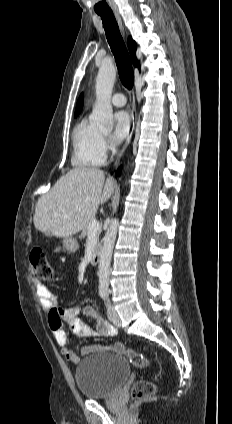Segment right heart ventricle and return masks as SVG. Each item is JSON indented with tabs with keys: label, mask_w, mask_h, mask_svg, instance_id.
<instances>
[{
	"label": "right heart ventricle",
	"mask_w": 232,
	"mask_h": 424,
	"mask_svg": "<svg viewBox=\"0 0 232 424\" xmlns=\"http://www.w3.org/2000/svg\"><path fill=\"white\" fill-rule=\"evenodd\" d=\"M72 146V165L75 168L98 167L105 163L103 134L87 117L75 126Z\"/></svg>",
	"instance_id": "1"
}]
</instances>
